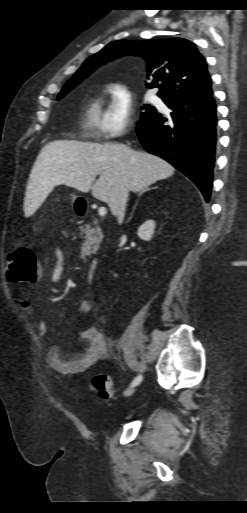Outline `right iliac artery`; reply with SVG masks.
Here are the masks:
<instances>
[{
	"instance_id": "right-iliac-artery-1",
	"label": "right iliac artery",
	"mask_w": 247,
	"mask_h": 513,
	"mask_svg": "<svg viewBox=\"0 0 247 513\" xmlns=\"http://www.w3.org/2000/svg\"><path fill=\"white\" fill-rule=\"evenodd\" d=\"M141 381H142V376H141V375H139L138 377H136V378L134 379V381L131 383V385H130V386H131V387H134V386L138 385Z\"/></svg>"
}]
</instances>
